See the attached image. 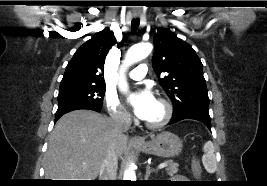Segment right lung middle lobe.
<instances>
[{"label": "right lung middle lobe", "instance_id": "obj_1", "mask_svg": "<svg viewBox=\"0 0 267 186\" xmlns=\"http://www.w3.org/2000/svg\"><path fill=\"white\" fill-rule=\"evenodd\" d=\"M105 85L76 84L60 86L58 105L92 104L102 106Z\"/></svg>", "mask_w": 267, "mask_h": 186}]
</instances>
